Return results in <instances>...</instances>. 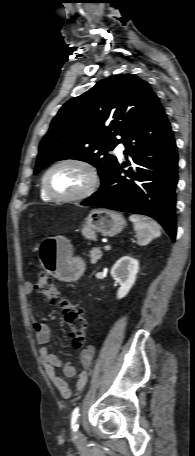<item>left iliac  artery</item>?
<instances>
[{"mask_svg":"<svg viewBox=\"0 0 195 456\" xmlns=\"http://www.w3.org/2000/svg\"><path fill=\"white\" fill-rule=\"evenodd\" d=\"M78 416H79V408L76 407L72 413V418H71V428L73 431H76L78 428V425L76 424Z\"/></svg>","mask_w":195,"mask_h":456,"instance_id":"obj_1","label":"left iliac artery"}]
</instances>
